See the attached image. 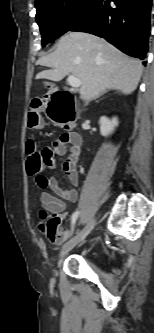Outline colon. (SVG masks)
I'll return each instance as SVG.
<instances>
[{
	"label": "colon",
	"instance_id": "5ec220e1",
	"mask_svg": "<svg viewBox=\"0 0 154 333\" xmlns=\"http://www.w3.org/2000/svg\"><path fill=\"white\" fill-rule=\"evenodd\" d=\"M43 106L42 99H34L31 104V112L28 116V125L31 128H37L40 126L39 112ZM62 126L67 128L68 126L62 122ZM43 165L41 153L36 149L32 140H28L26 143V170L28 174L35 175L41 171ZM40 226L45 232L48 238L54 242L60 239L61 234L59 231L60 217L57 214L48 215L45 211L40 213Z\"/></svg>",
	"mask_w": 154,
	"mask_h": 333
}]
</instances>
